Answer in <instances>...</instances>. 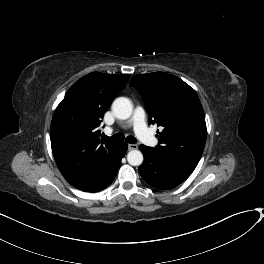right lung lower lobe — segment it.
Wrapping results in <instances>:
<instances>
[{
    "label": "right lung lower lobe",
    "instance_id": "right-lung-lower-lobe-1",
    "mask_svg": "<svg viewBox=\"0 0 264 264\" xmlns=\"http://www.w3.org/2000/svg\"><path fill=\"white\" fill-rule=\"evenodd\" d=\"M126 151H127V144L120 142L117 158L115 162L113 163L111 169L105 175H103L99 180L95 181L94 183H91L87 186L77 188V189H80L85 192L86 191L98 192L108 187L114 180L117 174V171L121 165V159L124 157Z\"/></svg>",
    "mask_w": 264,
    "mask_h": 264
}]
</instances>
